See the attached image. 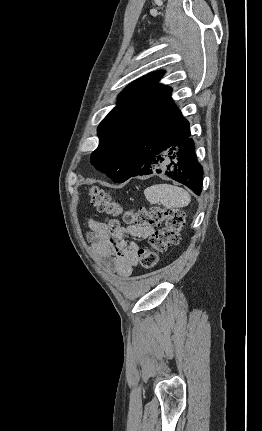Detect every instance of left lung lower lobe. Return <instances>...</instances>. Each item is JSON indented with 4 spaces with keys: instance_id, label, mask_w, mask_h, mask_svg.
Wrapping results in <instances>:
<instances>
[{
    "instance_id": "0a47b994",
    "label": "left lung lower lobe",
    "mask_w": 262,
    "mask_h": 431,
    "mask_svg": "<svg viewBox=\"0 0 262 431\" xmlns=\"http://www.w3.org/2000/svg\"><path fill=\"white\" fill-rule=\"evenodd\" d=\"M189 136L188 124L167 135L151 151H141L134 159L129 178L163 173L199 195L203 183V168L197 160L194 142Z\"/></svg>"
}]
</instances>
